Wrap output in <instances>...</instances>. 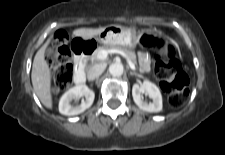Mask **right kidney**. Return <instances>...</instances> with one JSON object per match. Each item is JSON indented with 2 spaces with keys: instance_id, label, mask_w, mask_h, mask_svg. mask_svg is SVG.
Segmentation results:
<instances>
[{
  "instance_id": "ca27d5eb",
  "label": "right kidney",
  "mask_w": 225,
  "mask_h": 155,
  "mask_svg": "<svg viewBox=\"0 0 225 155\" xmlns=\"http://www.w3.org/2000/svg\"><path fill=\"white\" fill-rule=\"evenodd\" d=\"M81 96L85 97V101H82L78 106H72L71 101ZM94 98L95 93L93 90L86 85H77L63 94L59 102V112L67 116L78 115L91 107Z\"/></svg>"
}]
</instances>
